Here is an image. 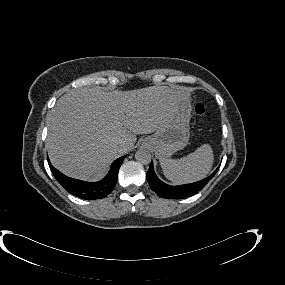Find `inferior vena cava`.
<instances>
[{
  "instance_id": "1",
  "label": "inferior vena cava",
  "mask_w": 285,
  "mask_h": 285,
  "mask_svg": "<svg viewBox=\"0 0 285 285\" xmlns=\"http://www.w3.org/2000/svg\"><path fill=\"white\" fill-rule=\"evenodd\" d=\"M122 146H123V143L117 144V148H120V147H122Z\"/></svg>"
}]
</instances>
